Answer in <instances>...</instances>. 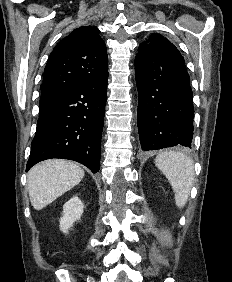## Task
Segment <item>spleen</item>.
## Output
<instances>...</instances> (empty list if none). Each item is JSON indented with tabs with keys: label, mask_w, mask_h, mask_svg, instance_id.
Returning <instances> with one entry per match:
<instances>
[{
	"label": "spleen",
	"mask_w": 232,
	"mask_h": 282,
	"mask_svg": "<svg viewBox=\"0 0 232 282\" xmlns=\"http://www.w3.org/2000/svg\"><path fill=\"white\" fill-rule=\"evenodd\" d=\"M155 165L169 180L175 193L177 207H184L194 176L191 159L181 152L170 151L158 155L155 159Z\"/></svg>",
	"instance_id": "spleen-1"
}]
</instances>
